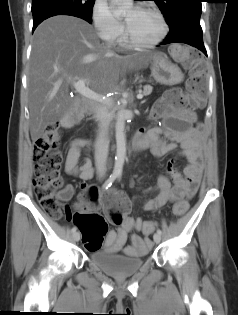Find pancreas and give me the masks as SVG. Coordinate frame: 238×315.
<instances>
[{
  "instance_id": "pancreas-1",
  "label": "pancreas",
  "mask_w": 238,
  "mask_h": 315,
  "mask_svg": "<svg viewBox=\"0 0 238 315\" xmlns=\"http://www.w3.org/2000/svg\"><path fill=\"white\" fill-rule=\"evenodd\" d=\"M152 90H153V87L151 85H145L143 87V95L145 96L150 95Z\"/></svg>"
}]
</instances>
